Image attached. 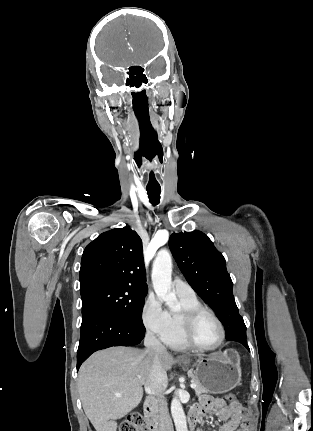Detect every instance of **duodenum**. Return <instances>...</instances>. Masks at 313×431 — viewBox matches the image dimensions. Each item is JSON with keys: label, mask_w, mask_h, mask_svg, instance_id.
Masks as SVG:
<instances>
[{"label": "duodenum", "mask_w": 313, "mask_h": 431, "mask_svg": "<svg viewBox=\"0 0 313 431\" xmlns=\"http://www.w3.org/2000/svg\"><path fill=\"white\" fill-rule=\"evenodd\" d=\"M145 416L149 431H168L158 413V406L155 397L150 396L145 402ZM198 422V417L194 413L189 415V424L193 428Z\"/></svg>", "instance_id": "1"}]
</instances>
